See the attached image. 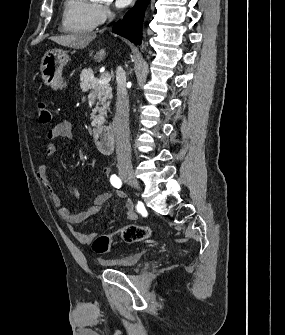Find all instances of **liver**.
Returning <instances> with one entry per match:
<instances>
[{
    "instance_id": "liver-1",
    "label": "liver",
    "mask_w": 285,
    "mask_h": 335,
    "mask_svg": "<svg viewBox=\"0 0 285 335\" xmlns=\"http://www.w3.org/2000/svg\"><path fill=\"white\" fill-rule=\"evenodd\" d=\"M96 34H70V36H52L50 40L52 42H56V44H60V46H67V48H75V50H82V48H86L92 40H95ZM106 52L105 50H100L94 56V60L96 62H102L103 58H105Z\"/></svg>"
}]
</instances>
